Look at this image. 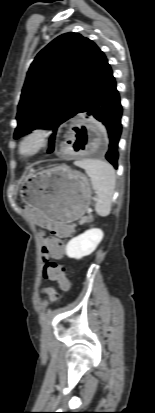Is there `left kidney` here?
Instances as JSON below:
<instances>
[{"instance_id": "1", "label": "left kidney", "mask_w": 155, "mask_h": 413, "mask_svg": "<svg viewBox=\"0 0 155 413\" xmlns=\"http://www.w3.org/2000/svg\"><path fill=\"white\" fill-rule=\"evenodd\" d=\"M100 229H90L72 238L66 246V254L70 258L81 259L90 255L103 239Z\"/></svg>"}]
</instances>
